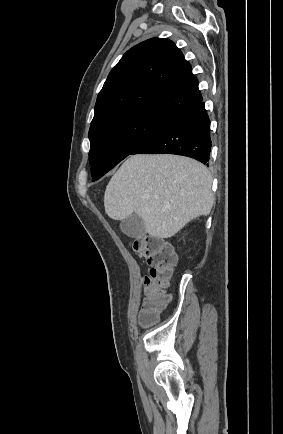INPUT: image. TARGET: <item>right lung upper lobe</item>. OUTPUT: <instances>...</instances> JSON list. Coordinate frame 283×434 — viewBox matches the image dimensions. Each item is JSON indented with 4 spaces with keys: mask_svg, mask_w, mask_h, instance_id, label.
Returning <instances> with one entry per match:
<instances>
[{
    "mask_svg": "<svg viewBox=\"0 0 283 434\" xmlns=\"http://www.w3.org/2000/svg\"><path fill=\"white\" fill-rule=\"evenodd\" d=\"M202 100L180 49L169 39L151 38L128 50L111 70L98 94L91 127L136 112L172 119Z\"/></svg>",
    "mask_w": 283,
    "mask_h": 434,
    "instance_id": "1",
    "label": "right lung upper lobe"
}]
</instances>
